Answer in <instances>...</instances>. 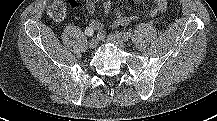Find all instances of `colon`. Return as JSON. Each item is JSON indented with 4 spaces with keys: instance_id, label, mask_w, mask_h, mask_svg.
I'll return each mask as SVG.
<instances>
[{
    "instance_id": "1",
    "label": "colon",
    "mask_w": 217,
    "mask_h": 121,
    "mask_svg": "<svg viewBox=\"0 0 217 121\" xmlns=\"http://www.w3.org/2000/svg\"><path fill=\"white\" fill-rule=\"evenodd\" d=\"M67 12L66 2L63 0L53 2L47 9V13L54 21H62Z\"/></svg>"
}]
</instances>
